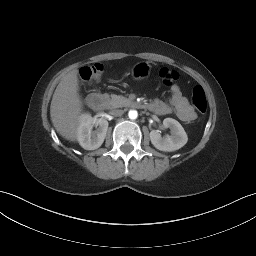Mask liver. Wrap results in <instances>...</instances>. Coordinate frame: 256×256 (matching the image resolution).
Wrapping results in <instances>:
<instances>
[{
  "label": "liver",
  "mask_w": 256,
  "mask_h": 256,
  "mask_svg": "<svg viewBox=\"0 0 256 256\" xmlns=\"http://www.w3.org/2000/svg\"><path fill=\"white\" fill-rule=\"evenodd\" d=\"M78 92V70L64 75L53 94L50 116L56 131L69 141H76L79 119L83 110Z\"/></svg>",
  "instance_id": "obj_1"
}]
</instances>
